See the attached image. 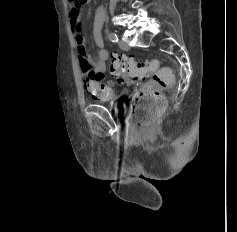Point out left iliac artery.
Returning <instances> with one entry per match:
<instances>
[{
    "mask_svg": "<svg viewBox=\"0 0 237 232\" xmlns=\"http://www.w3.org/2000/svg\"><path fill=\"white\" fill-rule=\"evenodd\" d=\"M108 37H109V40H110V41H112V42H118V37H117V35H116L115 33H110V34L108 35Z\"/></svg>",
    "mask_w": 237,
    "mask_h": 232,
    "instance_id": "left-iliac-artery-1",
    "label": "left iliac artery"
}]
</instances>
